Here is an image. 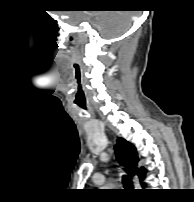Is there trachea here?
<instances>
[{"mask_svg": "<svg viewBox=\"0 0 194 202\" xmlns=\"http://www.w3.org/2000/svg\"><path fill=\"white\" fill-rule=\"evenodd\" d=\"M122 181L125 187H130L132 184L131 179L126 175L123 176Z\"/></svg>", "mask_w": 194, "mask_h": 202, "instance_id": "obj_1", "label": "trachea"}]
</instances>
